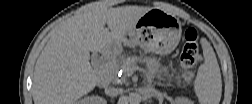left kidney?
<instances>
[{"instance_id": "obj_1", "label": "left kidney", "mask_w": 252, "mask_h": 104, "mask_svg": "<svg viewBox=\"0 0 252 104\" xmlns=\"http://www.w3.org/2000/svg\"><path fill=\"white\" fill-rule=\"evenodd\" d=\"M175 102L178 103V104H186V103H189L188 100L184 99V98H177L175 99Z\"/></svg>"}]
</instances>
